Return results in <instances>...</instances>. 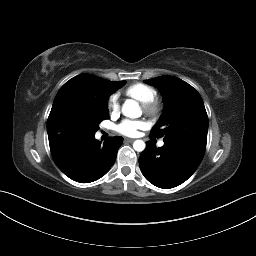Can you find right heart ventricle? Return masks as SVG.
<instances>
[{"instance_id":"obj_1","label":"right heart ventricle","mask_w":256,"mask_h":256,"mask_svg":"<svg viewBox=\"0 0 256 256\" xmlns=\"http://www.w3.org/2000/svg\"><path fill=\"white\" fill-rule=\"evenodd\" d=\"M124 94L144 104L156 98V90L144 83H135L124 90Z\"/></svg>"}]
</instances>
